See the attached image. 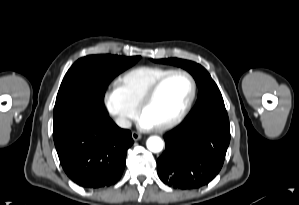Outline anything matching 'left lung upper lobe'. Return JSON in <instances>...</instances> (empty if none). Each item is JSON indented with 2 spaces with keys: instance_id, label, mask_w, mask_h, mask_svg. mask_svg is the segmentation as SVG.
Wrapping results in <instances>:
<instances>
[{
  "instance_id": "5c2ea615",
  "label": "left lung upper lobe",
  "mask_w": 299,
  "mask_h": 205,
  "mask_svg": "<svg viewBox=\"0 0 299 205\" xmlns=\"http://www.w3.org/2000/svg\"><path fill=\"white\" fill-rule=\"evenodd\" d=\"M157 63L173 64L186 69L194 77L199 88L198 99L188 118H198L203 114L225 108L222 95L209 73L201 65L178 58L154 60Z\"/></svg>"
}]
</instances>
